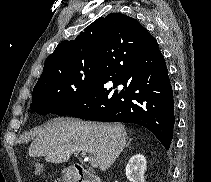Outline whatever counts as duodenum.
Instances as JSON below:
<instances>
[{
  "mask_svg": "<svg viewBox=\"0 0 211 182\" xmlns=\"http://www.w3.org/2000/svg\"><path fill=\"white\" fill-rule=\"evenodd\" d=\"M72 176L73 182H102L96 174L78 166L72 168Z\"/></svg>",
  "mask_w": 211,
  "mask_h": 182,
  "instance_id": "1",
  "label": "duodenum"
}]
</instances>
